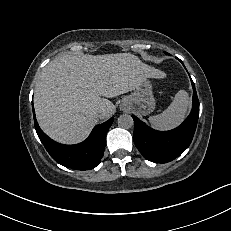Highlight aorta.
<instances>
[{
	"instance_id": "1",
	"label": "aorta",
	"mask_w": 231,
	"mask_h": 231,
	"mask_svg": "<svg viewBox=\"0 0 231 231\" xmlns=\"http://www.w3.org/2000/svg\"><path fill=\"white\" fill-rule=\"evenodd\" d=\"M134 125L133 118L128 114H123L118 118V126L121 128L129 129Z\"/></svg>"
}]
</instances>
